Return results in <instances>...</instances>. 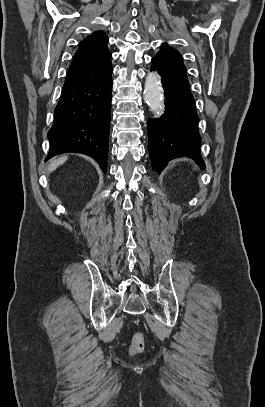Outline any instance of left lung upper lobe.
<instances>
[{
  "instance_id": "obj_1",
  "label": "left lung upper lobe",
  "mask_w": 265,
  "mask_h": 407,
  "mask_svg": "<svg viewBox=\"0 0 265 407\" xmlns=\"http://www.w3.org/2000/svg\"><path fill=\"white\" fill-rule=\"evenodd\" d=\"M154 58L171 71L187 77L186 67L183 64L181 54L177 50L167 46V44H163V47Z\"/></svg>"
}]
</instances>
